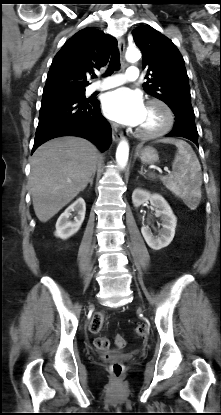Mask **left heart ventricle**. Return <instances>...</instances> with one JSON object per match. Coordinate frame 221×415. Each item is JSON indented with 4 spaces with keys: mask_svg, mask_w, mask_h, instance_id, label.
<instances>
[{
    "mask_svg": "<svg viewBox=\"0 0 221 415\" xmlns=\"http://www.w3.org/2000/svg\"><path fill=\"white\" fill-rule=\"evenodd\" d=\"M165 122V114L161 107L157 105H146L144 114L138 129L142 131H155Z\"/></svg>",
    "mask_w": 221,
    "mask_h": 415,
    "instance_id": "obj_1",
    "label": "left heart ventricle"
}]
</instances>
